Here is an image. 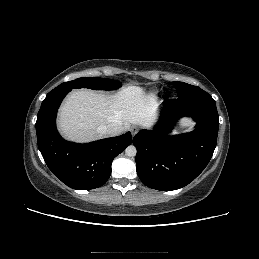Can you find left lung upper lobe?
<instances>
[{
	"mask_svg": "<svg viewBox=\"0 0 259 259\" xmlns=\"http://www.w3.org/2000/svg\"><path fill=\"white\" fill-rule=\"evenodd\" d=\"M177 90L178 99L187 100L194 98H212L210 94L197 86H193L184 82H172Z\"/></svg>",
	"mask_w": 259,
	"mask_h": 259,
	"instance_id": "obj_1",
	"label": "left lung upper lobe"
}]
</instances>
